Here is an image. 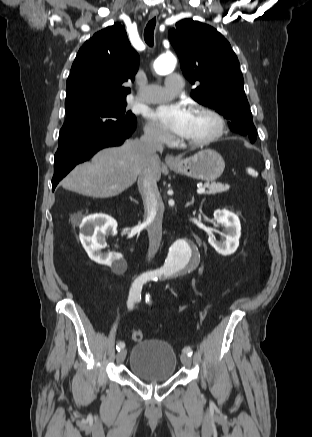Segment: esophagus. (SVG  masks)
<instances>
[{"label": "esophagus", "mask_w": 312, "mask_h": 437, "mask_svg": "<svg viewBox=\"0 0 312 437\" xmlns=\"http://www.w3.org/2000/svg\"><path fill=\"white\" fill-rule=\"evenodd\" d=\"M157 14H158V13H157L156 11L151 12V13L149 14V19L151 20V19L155 18V17L157 16ZM165 162H166L168 165L176 164V163L178 162V159L175 158L173 155H167V156L165 157Z\"/></svg>", "instance_id": "obj_1"}]
</instances>
